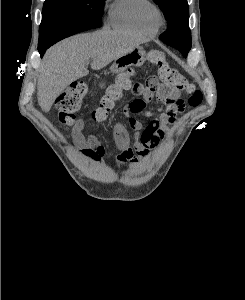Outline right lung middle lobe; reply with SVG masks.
I'll return each instance as SVG.
<instances>
[{"instance_id": "right-lung-middle-lobe-1", "label": "right lung middle lobe", "mask_w": 245, "mask_h": 300, "mask_svg": "<svg viewBox=\"0 0 245 300\" xmlns=\"http://www.w3.org/2000/svg\"><path fill=\"white\" fill-rule=\"evenodd\" d=\"M105 0H46L39 28L38 46L54 43L92 22H101Z\"/></svg>"}]
</instances>
